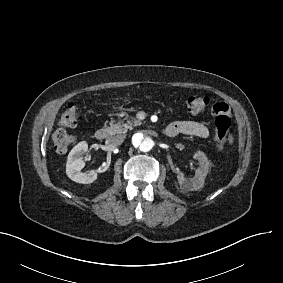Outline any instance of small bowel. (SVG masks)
I'll list each match as a JSON object with an SVG mask.
<instances>
[{"label":"small bowel","mask_w":283,"mask_h":283,"mask_svg":"<svg viewBox=\"0 0 283 283\" xmlns=\"http://www.w3.org/2000/svg\"><path fill=\"white\" fill-rule=\"evenodd\" d=\"M229 110L230 105L228 103L225 101H219L208 109V114L211 119H216L218 116L225 115ZM166 129L170 136L182 134L199 138H207L210 134L209 128L206 124L190 120L171 123L166 127ZM229 143H232V138L229 139Z\"/></svg>","instance_id":"small-bowel-1"}]
</instances>
